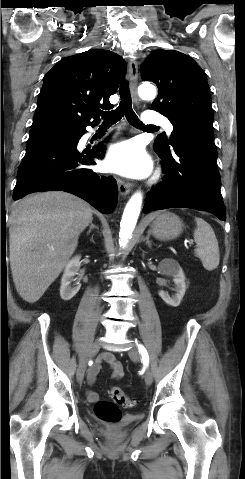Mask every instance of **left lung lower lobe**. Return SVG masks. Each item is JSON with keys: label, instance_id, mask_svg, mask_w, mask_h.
Listing matches in <instances>:
<instances>
[{"label": "left lung lower lobe", "instance_id": "obj_1", "mask_svg": "<svg viewBox=\"0 0 245 479\" xmlns=\"http://www.w3.org/2000/svg\"><path fill=\"white\" fill-rule=\"evenodd\" d=\"M165 173L161 184L148 192L143 212L191 208L226 219L213 138L192 136L173 141L168 152L155 150Z\"/></svg>", "mask_w": 245, "mask_h": 479}]
</instances>
